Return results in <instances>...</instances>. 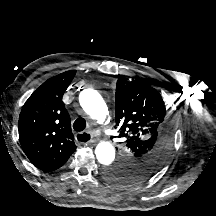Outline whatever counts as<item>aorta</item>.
Returning a JSON list of instances; mask_svg holds the SVG:
<instances>
[{"instance_id": "obj_1", "label": "aorta", "mask_w": 216, "mask_h": 216, "mask_svg": "<svg viewBox=\"0 0 216 216\" xmlns=\"http://www.w3.org/2000/svg\"><path fill=\"white\" fill-rule=\"evenodd\" d=\"M79 102L83 110L93 119L102 123L107 115L108 108L102 96L94 89H85L79 95ZM96 158L102 165H110L115 158V148L108 142H100L95 149Z\"/></svg>"}]
</instances>
